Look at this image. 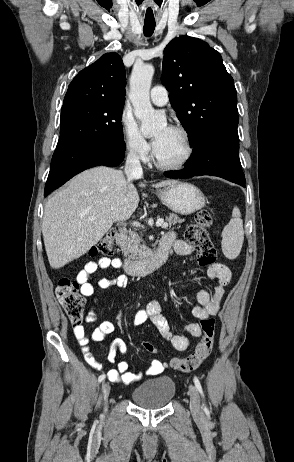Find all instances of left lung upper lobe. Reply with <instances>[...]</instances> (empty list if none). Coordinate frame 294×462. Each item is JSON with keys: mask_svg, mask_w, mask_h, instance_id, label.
<instances>
[{"mask_svg": "<svg viewBox=\"0 0 294 462\" xmlns=\"http://www.w3.org/2000/svg\"><path fill=\"white\" fill-rule=\"evenodd\" d=\"M161 81L193 146L218 124L238 116L234 81L221 55L206 42L183 36L164 50Z\"/></svg>", "mask_w": 294, "mask_h": 462, "instance_id": "obj_1", "label": "left lung upper lobe"}]
</instances>
